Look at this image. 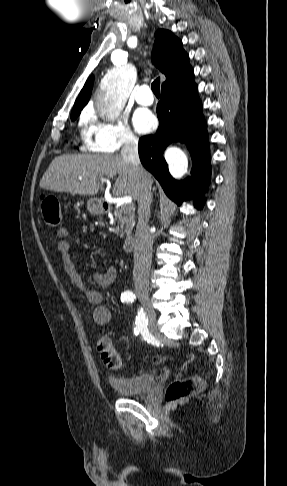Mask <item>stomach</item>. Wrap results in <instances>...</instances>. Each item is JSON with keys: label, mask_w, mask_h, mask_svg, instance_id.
I'll use <instances>...</instances> for the list:
<instances>
[{"label": "stomach", "mask_w": 287, "mask_h": 486, "mask_svg": "<svg viewBox=\"0 0 287 486\" xmlns=\"http://www.w3.org/2000/svg\"><path fill=\"white\" fill-rule=\"evenodd\" d=\"M87 209L92 214L103 213V201L99 198H90L87 202Z\"/></svg>", "instance_id": "1"}]
</instances>
